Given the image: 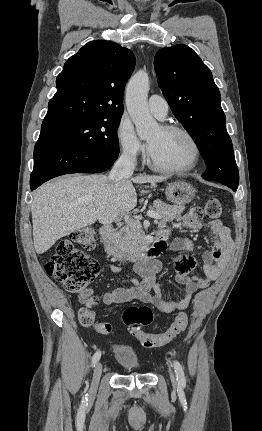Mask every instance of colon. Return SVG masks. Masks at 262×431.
I'll list each match as a JSON object with an SVG mask.
<instances>
[{
    "label": "colon",
    "instance_id": "colon-1",
    "mask_svg": "<svg viewBox=\"0 0 262 431\" xmlns=\"http://www.w3.org/2000/svg\"><path fill=\"white\" fill-rule=\"evenodd\" d=\"M204 214L210 220H217L222 214L220 201L212 197L204 206ZM75 244L85 248L95 247V229L86 227L73 232L69 238L58 245L56 252L44 263L46 273L63 285L68 292H79L97 277L99 265L96 260L89 258L80 251ZM123 322L139 339L143 347L152 348L164 345L182 333L188 324L185 312H180L170 327L162 333L151 334L140 329L141 325H148L153 320V313L147 306H133L123 313ZM79 321L83 327L96 328L102 334L111 331V325L96 321L95 317L86 310L79 313Z\"/></svg>",
    "mask_w": 262,
    "mask_h": 431
}]
</instances>
